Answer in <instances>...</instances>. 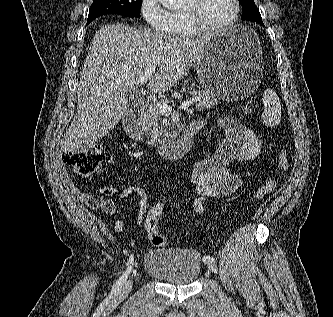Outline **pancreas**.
<instances>
[{
  "instance_id": "cf45deb5",
  "label": "pancreas",
  "mask_w": 333,
  "mask_h": 317,
  "mask_svg": "<svg viewBox=\"0 0 333 317\" xmlns=\"http://www.w3.org/2000/svg\"><path fill=\"white\" fill-rule=\"evenodd\" d=\"M190 90V94L197 95L198 101L196 102V109L201 111L203 109H209L218 104V100L210 95L208 92L200 89L196 91L193 87L187 88ZM186 88L182 89L185 92ZM162 102L168 103V99L163 98ZM146 135L151 137L153 141L165 142L175 138L174 126L169 122L167 116H165L157 106L151 105L146 115Z\"/></svg>"
}]
</instances>
